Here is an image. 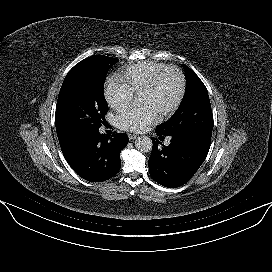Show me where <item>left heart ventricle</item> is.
Here are the masks:
<instances>
[{
	"label": "left heart ventricle",
	"instance_id": "left-heart-ventricle-1",
	"mask_svg": "<svg viewBox=\"0 0 272 272\" xmlns=\"http://www.w3.org/2000/svg\"><path fill=\"white\" fill-rule=\"evenodd\" d=\"M179 88L178 74L174 71H168L152 91L139 95V102L150 105L158 114H161L174 104Z\"/></svg>",
	"mask_w": 272,
	"mask_h": 272
}]
</instances>
